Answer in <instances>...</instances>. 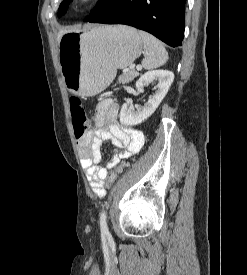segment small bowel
I'll return each instance as SVG.
<instances>
[{
  "instance_id": "1",
  "label": "small bowel",
  "mask_w": 247,
  "mask_h": 275,
  "mask_svg": "<svg viewBox=\"0 0 247 275\" xmlns=\"http://www.w3.org/2000/svg\"><path fill=\"white\" fill-rule=\"evenodd\" d=\"M119 105L110 99L98 103L94 116V129L77 141L82 158V166L86 171L92 191L99 197L106 194L104 181L109 170L113 169L121 159L137 153L143 143L144 135L140 130L124 126L118 121ZM110 142L114 155L105 167L99 165L102 158L101 147Z\"/></svg>"
}]
</instances>
